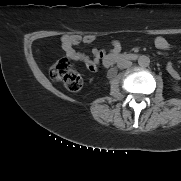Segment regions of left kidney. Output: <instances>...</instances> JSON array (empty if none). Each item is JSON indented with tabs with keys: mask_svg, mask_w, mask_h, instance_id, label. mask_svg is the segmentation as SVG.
Returning a JSON list of instances; mask_svg holds the SVG:
<instances>
[{
	"mask_svg": "<svg viewBox=\"0 0 181 181\" xmlns=\"http://www.w3.org/2000/svg\"><path fill=\"white\" fill-rule=\"evenodd\" d=\"M173 89H174V91H180V87L179 86H174Z\"/></svg>",
	"mask_w": 181,
	"mask_h": 181,
	"instance_id": "5707ae66",
	"label": "left kidney"
}]
</instances>
